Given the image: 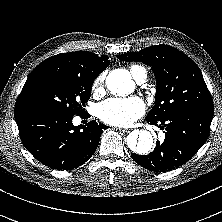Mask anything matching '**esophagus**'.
Segmentation results:
<instances>
[{
    "label": "esophagus",
    "mask_w": 222,
    "mask_h": 222,
    "mask_svg": "<svg viewBox=\"0 0 222 222\" xmlns=\"http://www.w3.org/2000/svg\"><path fill=\"white\" fill-rule=\"evenodd\" d=\"M119 131L121 133H128L130 131V129H123V128H119Z\"/></svg>",
    "instance_id": "34e87169"
}]
</instances>
